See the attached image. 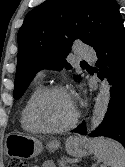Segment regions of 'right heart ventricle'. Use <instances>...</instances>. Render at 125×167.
I'll return each instance as SVG.
<instances>
[{
    "label": "right heart ventricle",
    "instance_id": "e07e8e85",
    "mask_svg": "<svg viewBox=\"0 0 125 167\" xmlns=\"http://www.w3.org/2000/svg\"><path fill=\"white\" fill-rule=\"evenodd\" d=\"M43 90V86L41 83H36L34 89L32 90V92L30 93L29 97L27 98V100L25 101L24 105L22 106V109L20 111V115H19V121L20 124L22 126V128L24 130H26L27 132L30 133H37L38 131L35 129V127L33 126L31 120H30V116H29V112H30V107L34 101V99L36 98V96Z\"/></svg>",
    "mask_w": 125,
    "mask_h": 167
}]
</instances>
